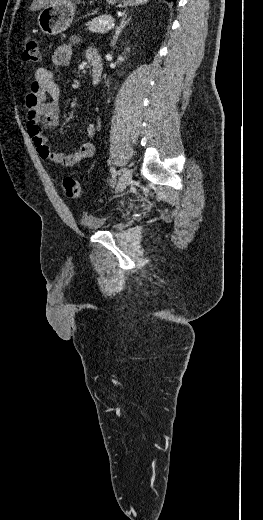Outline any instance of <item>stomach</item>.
<instances>
[{
  "mask_svg": "<svg viewBox=\"0 0 263 520\" xmlns=\"http://www.w3.org/2000/svg\"><path fill=\"white\" fill-rule=\"evenodd\" d=\"M117 7L136 6L148 0H106ZM75 3L67 1L62 4L48 5L39 13L38 25L46 35H58L64 32L73 22Z\"/></svg>",
  "mask_w": 263,
  "mask_h": 520,
  "instance_id": "stomach-1",
  "label": "stomach"
}]
</instances>
